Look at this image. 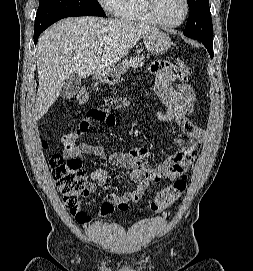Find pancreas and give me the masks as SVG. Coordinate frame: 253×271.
Returning <instances> with one entry per match:
<instances>
[{
	"label": "pancreas",
	"mask_w": 253,
	"mask_h": 271,
	"mask_svg": "<svg viewBox=\"0 0 253 271\" xmlns=\"http://www.w3.org/2000/svg\"><path fill=\"white\" fill-rule=\"evenodd\" d=\"M144 65L143 57H131L130 59H125L119 66L121 74L126 73L129 67L138 68Z\"/></svg>",
	"instance_id": "obj_1"
}]
</instances>
